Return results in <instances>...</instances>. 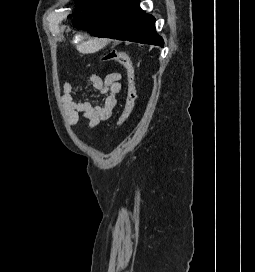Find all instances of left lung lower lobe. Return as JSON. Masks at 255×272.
<instances>
[{"label": "left lung lower lobe", "instance_id": "1", "mask_svg": "<svg viewBox=\"0 0 255 272\" xmlns=\"http://www.w3.org/2000/svg\"><path fill=\"white\" fill-rule=\"evenodd\" d=\"M73 25L97 37L164 45L155 31V18L140 8L139 0H91L73 18Z\"/></svg>", "mask_w": 255, "mask_h": 272}]
</instances>
